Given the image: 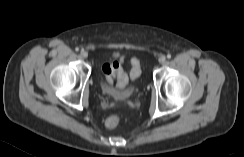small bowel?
Here are the masks:
<instances>
[{
	"label": "small bowel",
	"instance_id": "1",
	"mask_svg": "<svg viewBox=\"0 0 244 157\" xmlns=\"http://www.w3.org/2000/svg\"><path fill=\"white\" fill-rule=\"evenodd\" d=\"M114 62L121 64L124 62V57L123 56H117L114 60Z\"/></svg>",
	"mask_w": 244,
	"mask_h": 157
}]
</instances>
